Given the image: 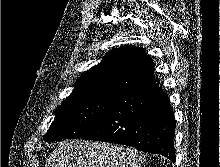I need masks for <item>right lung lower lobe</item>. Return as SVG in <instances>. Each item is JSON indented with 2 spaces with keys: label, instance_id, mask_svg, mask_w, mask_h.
I'll return each mask as SVG.
<instances>
[{
  "label": "right lung lower lobe",
  "instance_id": "98d812e1",
  "mask_svg": "<svg viewBox=\"0 0 220 167\" xmlns=\"http://www.w3.org/2000/svg\"><path fill=\"white\" fill-rule=\"evenodd\" d=\"M174 132L169 97L154 82L116 97L102 120L81 139L132 146L175 162Z\"/></svg>",
  "mask_w": 220,
  "mask_h": 167
}]
</instances>
